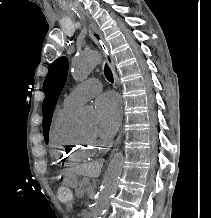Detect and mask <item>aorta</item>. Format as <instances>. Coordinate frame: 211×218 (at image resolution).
<instances>
[{
    "mask_svg": "<svg viewBox=\"0 0 211 218\" xmlns=\"http://www.w3.org/2000/svg\"><path fill=\"white\" fill-rule=\"evenodd\" d=\"M101 56L96 51H87L75 57L72 61V76L77 81L86 79L92 70L100 63ZM78 127L84 131L96 128L98 118L90 108L83 109L78 117ZM124 157L122 152L116 153L110 160L109 167L102 181L101 190L98 193L92 207V218H101L106 212L117 191L120 176L122 174Z\"/></svg>",
    "mask_w": 211,
    "mask_h": 218,
    "instance_id": "1",
    "label": "aorta"
}]
</instances>
